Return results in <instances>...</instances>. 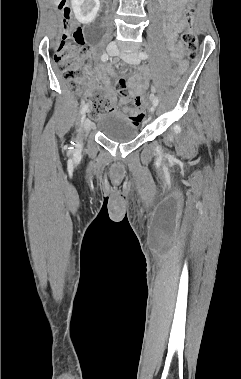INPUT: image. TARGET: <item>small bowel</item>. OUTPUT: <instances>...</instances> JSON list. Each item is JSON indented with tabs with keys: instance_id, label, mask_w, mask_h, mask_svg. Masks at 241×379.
<instances>
[{
	"instance_id": "1",
	"label": "small bowel",
	"mask_w": 241,
	"mask_h": 379,
	"mask_svg": "<svg viewBox=\"0 0 241 379\" xmlns=\"http://www.w3.org/2000/svg\"><path fill=\"white\" fill-rule=\"evenodd\" d=\"M165 9L170 20V24L167 27V40L172 48V59L175 62L180 61V48L178 45V35L186 27V23L183 20L181 13L178 8H176L171 0H168L165 4ZM185 65L181 63L180 68L183 69ZM97 80H89L87 85L89 87H95L98 89H105L107 91L108 97L114 103L117 98L114 92L110 88V71L105 66H98L96 68ZM118 83H123L122 80H118ZM128 90L125 88V93H121V98L119 100V105L121 106V113L129 120H131L132 125H143L149 116L148 110H142L145 103L141 102L139 98V93L143 92V89L147 87V82L145 80V74L134 76L130 78L127 82Z\"/></svg>"
}]
</instances>
